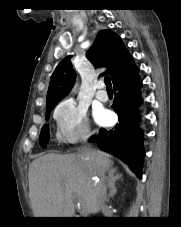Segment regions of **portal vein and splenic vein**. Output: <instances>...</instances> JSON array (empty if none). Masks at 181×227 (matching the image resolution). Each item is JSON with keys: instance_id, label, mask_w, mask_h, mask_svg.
Returning a JSON list of instances; mask_svg holds the SVG:
<instances>
[{"instance_id": "18ae733b", "label": "portal vein and splenic vein", "mask_w": 181, "mask_h": 227, "mask_svg": "<svg viewBox=\"0 0 181 227\" xmlns=\"http://www.w3.org/2000/svg\"><path fill=\"white\" fill-rule=\"evenodd\" d=\"M79 202L81 203L82 207L85 208L83 202L81 200H79Z\"/></svg>"}]
</instances>
